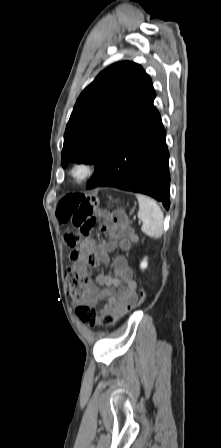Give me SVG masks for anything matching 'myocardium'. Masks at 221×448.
<instances>
[{
  "instance_id": "myocardium-1",
  "label": "myocardium",
  "mask_w": 221,
  "mask_h": 448,
  "mask_svg": "<svg viewBox=\"0 0 221 448\" xmlns=\"http://www.w3.org/2000/svg\"><path fill=\"white\" fill-rule=\"evenodd\" d=\"M97 171V166L94 163L80 161L72 166L70 176L77 183H85L93 179L96 176Z\"/></svg>"
}]
</instances>
